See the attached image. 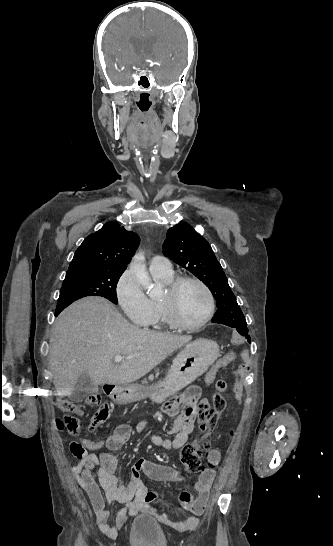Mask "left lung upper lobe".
Returning a JSON list of instances; mask_svg holds the SVG:
<instances>
[{
    "mask_svg": "<svg viewBox=\"0 0 333 546\" xmlns=\"http://www.w3.org/2000/svg\"><path fill=\"white\" fill-rule=\"evenodd\" d=\"M163 250L165 256L192 272L210 289L219 308L214 316L234 328L247 326L211 246L191 225L179 223L170 228Z\"/></svg>",
    "mask_w": 333,
    "mask_h": 546,
    "instance_id": "1",
    "label": "left lung upper lobe"
}]
</instances>
